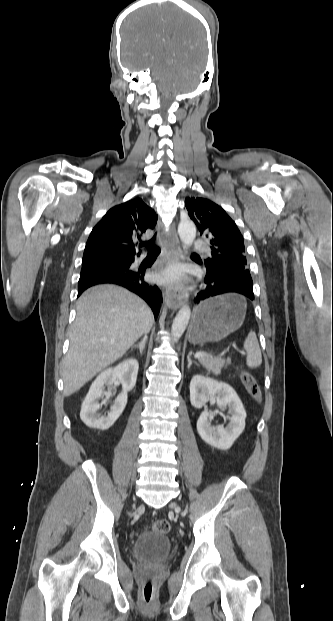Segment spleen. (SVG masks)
<instances>
[{"instance_id": "3e777b00", "label": "spleen", "mask_w": 333, "mask_h": 621, "mask_svg": "<svg viewBox=\"0 0 333 621\" xmlns=\"http://www.w3.org/2000/svg\"><path fill=\"white\" fill-rule=\"evenodd\" d=\"M243 348L247 353L246 364L249 368H256L262 363V354L256 334L250 332L244 341Z\"/></svg>"}]
</instances>
